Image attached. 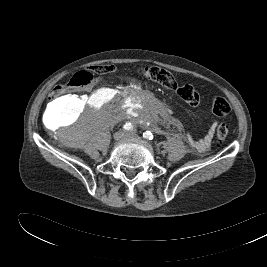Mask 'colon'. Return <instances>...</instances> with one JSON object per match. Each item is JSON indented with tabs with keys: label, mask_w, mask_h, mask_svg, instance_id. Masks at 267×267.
Returning <instances> with one entry per match:
<instances>
[{
	"label": "colon",
	"mask_w": 267,
	"mask_h": 267,
	"mask_svg": "<svg viewBox=\"0 0 267 267\" xmlns=\"http://www.w3.org/2000/svg\"><path fill=\"white\" fill-rule=\"evenodd\" d=\"M92 72L97 74L110 73L114 70L113 65H97L92 67ZM91 71H79L74 74L67 84L56 86L51 95L52 101H57L65 96L70 89H81L92 85L94 76ZM140 74L147 80L162 87L176 90L178 96L188 105L195 107L201 102L199 92L189 84L179 85L175 77L168 70L158 66H148L140 69ZM71 99V97H69ZM211 109L214 114L224 117L229 115L231 106L224 97H215L211 100ZM228 135V128L225 124H220L216 129L218 141H224Z\"/></svg>",
	"instance_id": "1"
}]
</instances>
